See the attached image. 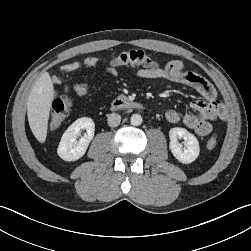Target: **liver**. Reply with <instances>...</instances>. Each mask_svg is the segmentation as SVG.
I'll return each mask as SVG.
<instances>
[{"instance_id": "liver-1", "label": "liver", "mask_w": 251, "mask_h": 251, "mask_svg": "<svg viewBox=\"0 0 251 251\" xmlns=\"http://www.w3.org/2000/svg\"><path fill=\"white\" fill-rule=\"evenodd\" d=\"M54 86L48 72L43 73L34 84L27 101V116L35 138L44 143L47 137L48 120Z\"/></svg>"}]
</instances>
